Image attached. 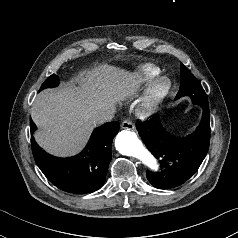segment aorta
Masks as SVG:
<instances>
[{
    "label": "aorta",
    "instance_id": "aorta-1",
    "mask_svg": "<svg viewBox=\"0 0 238 238\" xmlns=\"http://www.w3.org/2000/svg\"><path fill=\"white\" fill-rule=\"evenodd\" d=\"M115 147L120 154L139 160L151 171H159L158 160L142 144L136 133L128 130L119 132L115 139Z\"/></svg>",
    "mask_w": 238,
    "mask_h": 238
}]
</instances>
